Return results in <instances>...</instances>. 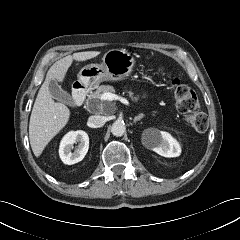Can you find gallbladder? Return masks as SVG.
I'll list each match as a JSON object with an SVG mask.
<instances>
[{"label":"gallbladder","mask_w":240,"mask_h":240,"mask_svg":"<svg viewBox=\"0 0 240 240\" xmlns=\"http://www.w3.org/2000/svg\"><path fill=\"white\" fill-rule=\"evenodd\" d=\"M48 88L53 99L70 107L76 106L72 96L67 91L63 90L56 80L49 81Z\"/></svg>","instance_id":"obj_1"}]
</instances>
